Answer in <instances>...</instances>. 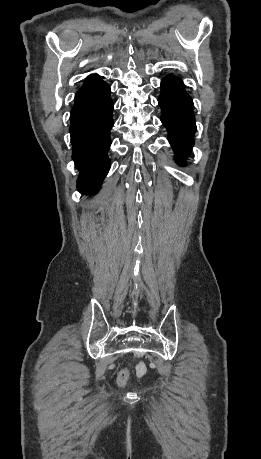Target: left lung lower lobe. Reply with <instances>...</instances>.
Returning a JSON list of instances; mask_svg holds the SVG:
<instances>
[{
	"mask_svg": "<svg viewBox=\"0 0 261 459\" xmlns=\"http://www.w3.org/2000/svg\"><path fill=\"white\" fill-rule=\"evenodd\" d=\"M158 102L162 109L161 121L168 130V139L177 155V162L184 164L196 131L192 99L179 78L167 76L161 82Z\"/></svg>",
	"mask_w": 261,
	"mask_h": 459,
	"instance_id": "0a47b994",
	"label": "left lung lower lobe"
}]
</instances>
